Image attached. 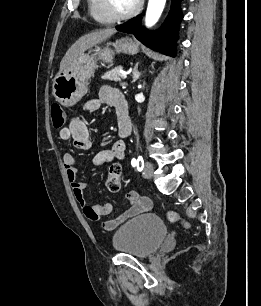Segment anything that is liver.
I'll use <instances>...</instances> for the list:
<instances>
[{
	"label": "liver",
	"instance_id": "6515ba94",
	"mask_svg": "<svg viewBox=\"0 0 261 306\" xmlns=\"http://www.w3.org/2000/svg\"><path fill=\"white\" fill-rule=\"evenodd\" d=\"M116 33L114 28L100 29L88 33L80 37L66 52L60 63L59 72L64 71L69 65H71L82 53L94 45L105 41L113 34Z\"/></svg>",
	"mask_w": 261,
	"mask_h": 306
}]
</instances>
